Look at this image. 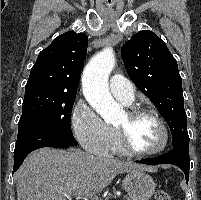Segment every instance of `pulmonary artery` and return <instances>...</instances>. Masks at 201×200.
Wrapping results in <instances>:
<instances>
[{
    "label": "pulmonary artery",
    "mask_w": 201,
    "mask_h": 200,
    "mask_svg": "<svg viewBox=\"0 0 201 200\" xmlns=\"http://www.w3.org/2000/svg\"><path fill=\"white\" fill-rule=\"evenodd\" d=\"M109 87L112 95L125 103H132L134 100L133 84L121 75H113L109 80Z\"/></svg>",
    "instance_id": "obj_1"
}]
</instances>
